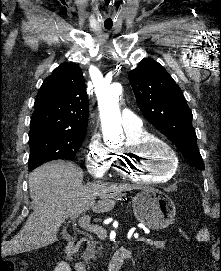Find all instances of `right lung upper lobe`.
<instances>
[{
	"instance_id": "obj_1",
	"label": "right lung upper lobe",
	"mask_w": 221,
	"mask_h": 271,
	"mask_svg": "<svg viewBox=\"0 0 221 271\" xmlns=\"http://www.w3.org/2000/svg\"><path fill=\"white\" fill-rule=\"evenodd\" d=\"M30 131L49 129L86 132L89 114L85 80L80 67L63 63L48 76L35 100Z\"/></svg>"
}]
</instances>
